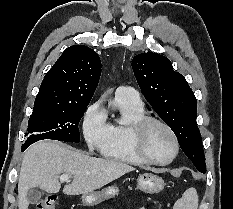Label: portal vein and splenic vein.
Wrapping results in <instances>:
<instances>
[{
    "instance_id": "portal-vein-and-splenic-vein-1",
    "label": "portal vein and splenic vein",
    "mask_w": 233,
    "mask_h": 209,
    "mask_svg": "<svg viewBox=\"0 0 233 209\" xmlns=\"http://www.w3.org/2000/svg\"><path fill=\"white\" fill-rule=\"evenodd\" d=\"M60 180H61V181H69V176L63 174V175L60 176Z\"/></svg>"
}]
</instances>
